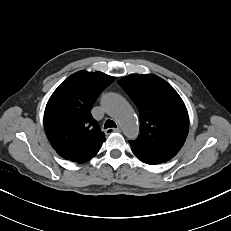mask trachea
I'll return each mask as SVG.
<instances>
[{
    "instance_id": "3493384b",
    "label": "trachea",
    "mask_w": 231,
    "mask_h": 231,
    "mask_svg": "<svg viewBox=\"0 0 231 231\" xmlns=\"http://www.w3.org/2000/svg\"><path fill=\"white\" fill-rule=\"evenodd\" d=\"M116 124L114 121L112 120H107L104 124V129H107V128H116Z\"/></svg>"
}]
</instances>
